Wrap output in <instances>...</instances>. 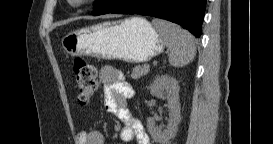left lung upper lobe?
Masks as SVG:
<instances>
[{
	"instance_id": "1",
	"label": "left lung upper lobe",
	"mask_w": 273,
	"mask_h": 144,
	"mask_svg": "<svg viewBox=\"0 0 273 144\" xmlns=\"http://www.w3.org/2000/svg\"><path fill=\"white\" fill-rule=\"evenodd\" d=\"M110 0H96L93 13L100 12L108 4Z\"/></svg>"
}]
</instances>
